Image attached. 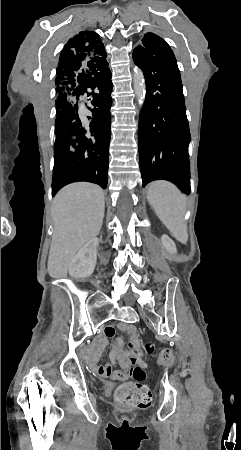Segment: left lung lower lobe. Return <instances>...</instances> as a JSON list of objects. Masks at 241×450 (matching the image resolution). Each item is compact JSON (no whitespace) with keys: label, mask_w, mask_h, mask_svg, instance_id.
I'll list each match as a JSON object with an SVG mask.
<instances>
[{"label":"left lung lower lobe","mask_w":241,"mask_h":450,"mask_svg":"<svg viewBox=\"0 0 241 450\" xmlns=\"http://www.w3.org/2000/svg\"><path fill=\"white\" fill-rule=\"evenodd\" d=\"M133 60L146 80L138 147L143 186L168 180L184 193L189 187V125L180 71L168 46L151 53L134 49Z\"/></svg>","instance_id":"obj_1"}]
</instances>
